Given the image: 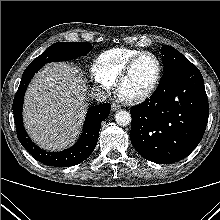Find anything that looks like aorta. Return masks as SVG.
<instances>
[{
  "label": "aorta",
  "instance_id": "aorta-1",
  "mask_svg": "<svg viewBox=\"0 0 220 220\" xmlns=\"http://www.w3.org/2000/svg\"><path fill=\"white\" fill-rule=\"evenodd\" d=\"M115 121L120 126H127L131 122V115L126 110H120L115 114Z\"/></svg>",
  "mask_w": 220,
  "mask_h": 220
}]
</instances>
